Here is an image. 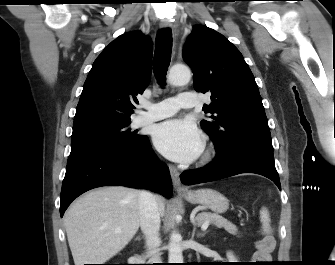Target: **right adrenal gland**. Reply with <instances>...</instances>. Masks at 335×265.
Segmentation results:
<instances>
[{
  "mask_svg": "<svg viewBox=\"0 0 335 265\" xmlns=\"http://www.w3.org/2000/svg\"><path fill=\"white\" fill-rule=\"evenodd\" d=\"M136 240L140 241V240H141V237H140V236L136 237Z\"/></svg>",
  "mask_w": 335,
  "mask_h": 265,
  "instance_id": "right-adrenal-gland-1",
  "label": "right adrenal gland"
}]
</instances>
